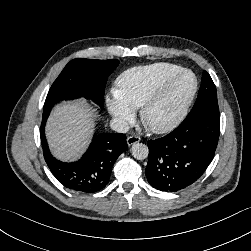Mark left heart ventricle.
Instances as JSON below:
<instances>
[{
  "label": "left heart ventricle",
  "mask_w": 251,
  "mask_h": 251,
  "mask_svg": "<svg viewBox=\"0 0 251 251\" xmlns=\"http://www.w3.org/2000/svg\"><path fill=\"white\" fill-rule=\"evenodd\" d=\"M192 84L193 79L190 75L181 76L164 97L149 110L147 122L160 125L169 121L182 106L192 88Z\"/></svg>",
  "instance_id": "1"
}]
</instances>
